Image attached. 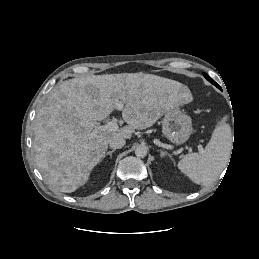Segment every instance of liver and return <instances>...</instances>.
I'll return each mask as SVG.
<instances>
[{"instance_id":"obj_1","label":"liver","mask_w":259,"mask_h":259,"mask_svg":"<svg viewBox=\"0 0 259 259\" xmlns=\"http://www.w3.org/2000/svg\"><path fill=\"white\" fill-rule=\"evenodd\" d=\"M183 86L143 73L89 75L56 86L34 120L35 161L43 178L60 192H74L88 181L110 139H130L135 130L149 128L167 111L191 102ZM120 101L128 125L97 131L98 121Z\"/></svg>"}]
</instances>
